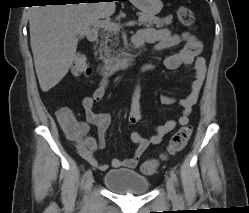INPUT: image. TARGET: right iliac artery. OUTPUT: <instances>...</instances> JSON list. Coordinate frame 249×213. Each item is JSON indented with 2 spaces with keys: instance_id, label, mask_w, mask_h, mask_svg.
Segmentation results:
<instances>
[{
  "instance_id": "obj_1",
  "label": "right iliac artery",
  "mask_w": 249,
  "mask_h": 213,
  "mask_svg": "<svg viewBox=\"0 0 249 213\" xmlns=\"http://www.w3.org/2000/svg\"><path fill=\"white\" fill-rule=\"evenodd\" d=\"M92 174V171L89 169L86 171L84 177L87 178L88 176H90Z\"/></svg>"
}]
</instances>
